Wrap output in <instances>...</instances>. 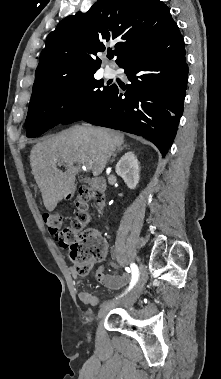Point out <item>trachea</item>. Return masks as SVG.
<instances>
[{
    "label": "trachea",
    "instance_id": "3493384b",
    "mask_svg": "<svg viewBox=\"0 0 221 379\" xmlns=\"http://www.w3.org/2000/svg\"><path fill=\"white\" fill-rule=\"evenodd\" d=\"M114 57V54H108V58L112 59Z\"/></svg>",
    "mask_w": 221,
    "mask_h": 379
}]
</instances>
